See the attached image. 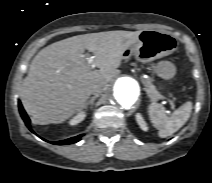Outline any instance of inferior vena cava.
Masks as SVG:
<instances>
[{
  "mask_svg": "<svg viewBox=\"0 0 212 183\" xmlns=\"http://www.w3.org/2000/svg\"><path fill=\"white\" fill-rule=\"evenodd\" d=\"M104 85L103 84H96L93 86L92 90H91V94L94 95H99L102 93L103 89H104Z\"/></svg>",
  "mask_w": 212,
  "mask_h": 183,
  "instance_id": "602c4592",
  "label": "inferior vena cava"
}]
</instances>
